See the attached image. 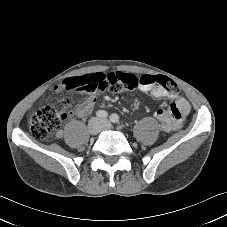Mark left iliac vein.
Wrapping results in <instances>:
<instances>
[{
    "label": "left iliac vein",
    "instance_id": "4c4485c4",
    "mask_svg": "<svg viewBox=\"0 0 227 227\" xmlns=\"http://www.w3.org/2000/svg\"><path fill=\"white\" fill-rule=\"evenodd\" d=\"M101 126L103 129H109L110 128V123L106 120L101 121Z\"/></svg>",
    "mask_w": 227,
    "mask_h": 227
}]
</instances>
